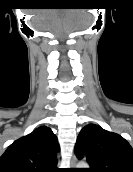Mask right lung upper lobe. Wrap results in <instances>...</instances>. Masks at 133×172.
Here are the masks:
<instances>
[{
	"instance_id": "1",
	"label": "right lung upper lobe",
	"mask_w": 133,
	"mask_h": 172,
	"mask_svg": "<svg viewBox=\"0 0 133 172\" xmlns=\"http://www.w3.org/2000/svg\"><path fill=\"white\" fill-rule=\"evenodd\" d=\"M60 147L46 126L14 141L0 157V172H58Z\"/></svg>"
}]
</instances>
